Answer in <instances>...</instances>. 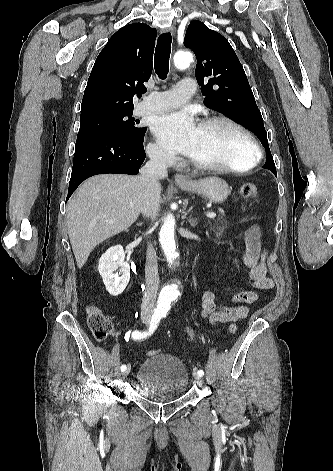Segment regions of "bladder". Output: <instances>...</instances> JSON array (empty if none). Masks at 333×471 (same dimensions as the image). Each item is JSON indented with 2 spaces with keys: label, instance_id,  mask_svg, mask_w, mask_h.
I'll return each mask as SVG.
<instances>
[{
  "label": "bladder",
  "instance_id": "obj_1",
  "mask_svg": "<svg viewBox=\"0 0 333 471\" xmlns=\"http://www.w3.org/2000/svg\"><path fill=\"white\" fill-rule=\"evenodd\" d=\"M136 381L141 396L151 402L170 403L183 397L189 387V373L180 358L159 353L139 366Z\"/></svg>",
  "mask_w": 333,
  "mask_h": 471
}]
</instances>
